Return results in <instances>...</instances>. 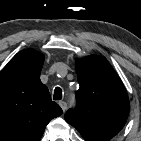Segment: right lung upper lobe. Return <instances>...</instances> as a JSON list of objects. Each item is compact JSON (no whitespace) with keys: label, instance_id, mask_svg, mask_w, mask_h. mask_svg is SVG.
<instances>
[{"label":"right lung upper lobe","instance_id":"right-lung-upper-lobe-1","mask_svg":"<svg viewBox=\"0 0 141 141\" xmlns=\"http://www.w3.org/2000/svg\"><path fill=\"white\" fill-rule=\"evenodd\" d=\"M44 55L17 53L0 73V141H39L51 119L63 111L40 81Z\"/></svg>","mask_w":141,"mask_h":141}]
</instances>
